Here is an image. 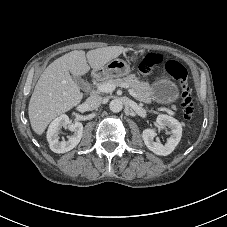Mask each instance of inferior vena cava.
<instances>
[{
  "label": "inferior vena cava",
  "instance_id": "1",
  "mask_svg": "<svg viewBox=\"0 0 227 227\" xmlns=\"http://www.w3.org/2000/svg\"><path fill=\"white\" fill-rule=\"evenodd\" d=\"M102 102V97L99 95H91L88 97L84 103L87 110H95L97 109Z\"/></svg>",
  "mask_w": 227,
  "mask_h": 227
}]
</instances>
